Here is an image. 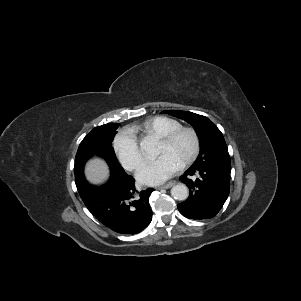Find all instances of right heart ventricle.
Instances as JSON below:
<instances>
[{"instance_id":"1","label":"right heart ventricle","mask_w":301,"mask_h":301,"mask_svg":"<svg viewBox=\"0 0 301 301\" xmlns=\"http://www.w3.org/2000/svg\"><path fill=\"white\" fill-rule=\"evenodd\" d=\"M181 127V123L175 119L156 116L145 120L141 124L134 125L129 129L135 134L137 132H142L144 134H150L157 137L167 135L168 133Z\"/></svg>"}]
</instances>
